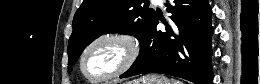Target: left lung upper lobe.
I'll return each mask as SVG.
<instances>
[{"label": "left lung upper lobe", "instance_id": "5c2ea615", "mask_svg": "<svg viewBox=\"0 0 260 84\" xmlns=\"http://www.w3.org/2000/svg\"><path fill=\"white\" fill-rule=\"evenodd\" d=\"M143 2L145 1L83 0L73 19V32L68 43V65H73L87 45L106 33L134 35L142 50L156 16L153 9H147L145 5L142 7Z\"/></svg>", "mask_w": 260, "mask_h": 84}]
</instances>
